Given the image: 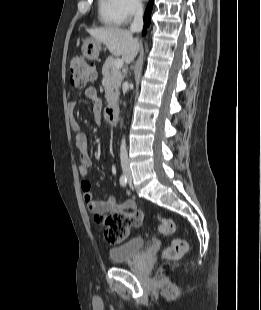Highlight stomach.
<instances>
[{"label": "stomach", "instance_id": "1", "mask_svg": "<svg viewBox=\"0 0 261 310\" xmlns=\"http://www.w3.org/2000/svg\"><path fill=\"white\" fill-rule=\"evenodd\" d=\"M101 48V42L95 40L94 38H89L83 41L81 49L84 57L89 60H95L98 58Z\"/></svg>", "mask_w": 261, "mask_h": 310}]
</instances>
